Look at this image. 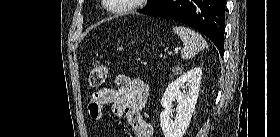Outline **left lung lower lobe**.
I'll return each mask as SVG.
<instances>
[{
	"mask_svg": "<svg viewBox=\"0 0 280 137\" xmlns=\"http://www.w3.org/2000/svg\"><path fill=\"white\" fill-rule=\"evenodd\" d=\"M226 0H163L143 14L187 24L207 36L224 53L223 28Z\"/></svg>",
	"mask_w": 280,
	"mask_h": 137,
	"instance_id": "0a47b994",
	"label": "left lung lower lobe"
}]
</instances>
